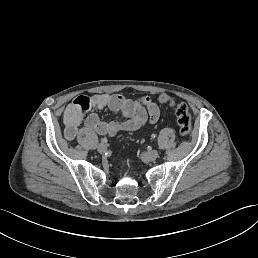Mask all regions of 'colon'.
I'll list each match as a JSON object with an SVG mask.
<instances>
[{"label":"colon","instance_id":"1","mask_svg":"<svg viewBox=\"0 0 258 258\" xmlns=\"http://www.w3.org/2000/svg\"><path fill=\"white\" fill-rule=\"evenodd\" d=\"M161 104L174 109L179 131L182 136L190 135L192 131V118L186 103L177 101L168 94H162L159 97Z\"/></svg>","mask_w":258,"mask_h":258}]
</instances>
